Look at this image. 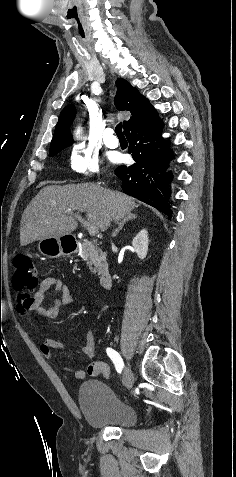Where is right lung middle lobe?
<instances>
[{
  "instance_id": "right-lung-middle-lobe-1",
  "label": "right lung middle lobe",
  "mask_w": 236,
  "mask_h": 477,
  "mask_svg": "<svg viewBox=\"0 0 236 477\" xmlns=\"http://www.w3.org/2000/svg\"><path fill=\"white\" fill-rule=\"evenodd\" d=\"M62 149H64V148H56V149L50 150L49 156H55V155H56L58 152H60Z\"/></svg>"
}]
</instances>
